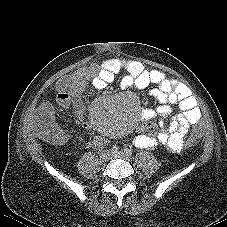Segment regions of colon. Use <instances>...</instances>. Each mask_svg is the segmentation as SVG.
I'll list each match as a JSON object with an SVG mask.
<instances>
[{
	"mask_svg": "<svg viewBox=\"0 0 227 227\" xmlns=\"http://www.w3.org/2000/svg\"><path fill=\"white\" fill-rule=\"evenodd\" d=\"M58 98V97H57ZM39 134L44 141L50 144H62L65 141V133L57 124H45L38 128ZM183 143L188 148H195L200 140L195 135H186Z\"/></svg>",
	"mask_w": 227,
	"mask_h": 227,
	"instance_id": "colon-1",
	"label": "colon"
}]
</instances>
